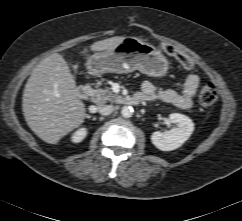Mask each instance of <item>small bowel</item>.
Wrapping results in <instances>:
<instances>
[{
    "label": "small bowel",
    "mask_w": 242,
    "mask_h": 221,
    "mask_svg": "<svg viewBox=\"0 0 242 221\" xmlns=\"http://www.w3.org/2000/svg\"><path fill=\"white\" fill-rule=\"evenodd\" d=\"M200 77L194 73L184 74L181 77V90L159 89L151 81L142 83V91L139 96L145 101H157L172 104L181 109H189L193 105Z\"/></svg>",
    "instance_id": "c3829d8e"
}]
</instances>
